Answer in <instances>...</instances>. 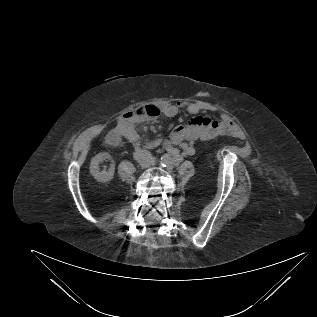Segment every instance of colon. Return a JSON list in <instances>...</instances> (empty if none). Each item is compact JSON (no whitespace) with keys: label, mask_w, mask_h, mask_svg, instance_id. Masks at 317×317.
<instances>
[{"label":"colon","mask_w":317,"mask_h":317,"mask_svg":"<svg viewBox=\"0 0 317 317\" xmlns=\"http://www.w3.org/2000/svg\"><path fill=\"white\" fill-rule=\"evenodd\" d=\"M160 110L155 105H144L137 109H135L133 112H131V116L134 118H156L159 116Z\"/></svg>","instance_id":"1"}]
</instances>
